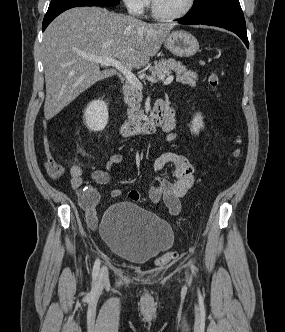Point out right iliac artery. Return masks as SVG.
I'll use <instances>...</instances> for the list:
<instances>
[{
	"mask_svg": "<svg viewBox=\"0 0 285 332\" xmlns=\"http://www.w3.org/2000/svg\"><path fill=\"white\" fill-rule=\"evenodd\" d=\"M99 267H100V260L96 259L94 266H93V271H92V278L93 280H96L98 277L99 273Z\"/></svg>",
	"mask_w": 285,
	"mask_h": 332,
	"instance_id": "obj_1",
	"label": "right iliac artery"
}]
</instances>
